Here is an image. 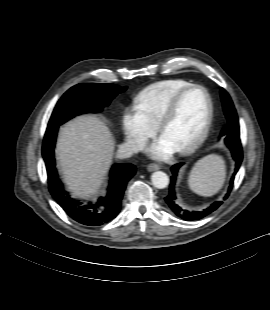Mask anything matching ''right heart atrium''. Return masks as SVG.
I'll use <instances>...</instances> for the list:
<instances>
[{
	"instance_id": "obj_1",
	"label": "right heart atrium",
	"mask_w": 270,
	"mask_h": 310,
	"mask_svg": "<svg viewBox=\"0 0 270 310\" xmlns=\"http://www.w3.org/2000/svg\"><path fill=\"white\" fill-rule=\"evenodd\" d=\"M122 128L126 141L134 148H141L157 130V126L148 119L139 104L135 103L125 108Z\"/></svg>"
}]
</instances>
